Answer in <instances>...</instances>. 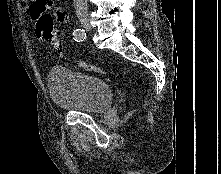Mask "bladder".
Instances as JSON below:
<instances>
[{
    "instance_id": "obj_1",
    "label": "bladder",
    "mask_w": 221,
    "mask_h": 174,
    "mask_svg": "<svg viewBox=\"0 0 221 174\" xmlns=\"http://www.w3.org/2000/svg\"><path fill=\"white\" fill-rule=\"evenodd\" d=\"M48 92L58 107L83 113L102 112L113 102V91L105 80L64 66L49 71Z\"/></svg>"
}]
</instances>
